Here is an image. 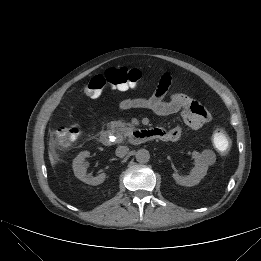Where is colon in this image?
<instances>
[{"label": "colon", "mask_w": 261, "mask_h": 261, "mask_svg": "<svg viewBox=\"0 0 261 261\" xmlns=\"http://www.w3.org/2000/svg\"><path fill=\"white\" fill-rule=\"evenodd\" d=\"M142 73L135 68H110L102 75L94 76L86 85L84 93L90 98H98L106 85L118 87L123 85H136ZM79 136V129L75 126H59L54 130L53 139L61 146H68L75 142ZM212 142L215 149L221 154H227L232 142L227 132L220 127L214 129Z\"/></svg>", "instance_id": "1"}]
</instances>
